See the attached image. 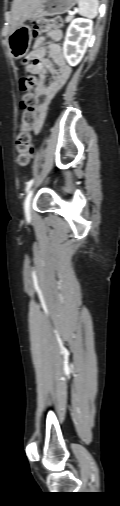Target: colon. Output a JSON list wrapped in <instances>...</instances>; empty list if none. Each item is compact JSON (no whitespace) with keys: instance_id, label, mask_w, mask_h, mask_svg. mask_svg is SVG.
<instances>
[{"instance_id":"colon-1","label":"colon","mask_w":120,"mask_h":506,"mask_svg":"<svg viewBox=\"0 0 120 506\" xmlns=\"http://www.w3.org/2000/svg\"><path fill=\"white\" fill-rule=\"evenodd\" d=\"M62 25L60 17L39 18L35 21L33 29L35 34L48 33L58 29ZM25 63V60L23 61ZM36 85L35 77L23 76L20 80L21 89L24 92L22 98L21 130L16 138L17 162L20 166H27L33 158L31 129L36 123L35 107L37 97L33 92Z\"/></svg>"}]
</instances>
